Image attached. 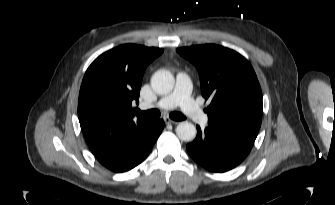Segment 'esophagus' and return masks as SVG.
<instances>
[{
  "instance_id": "obj_1",
  "label": "esophagus",
  "mask_w": 335,
  "mask_h": 205,
  "mask_svg": "<svg viewBox=\"0 0 335 205\" xmlns=\"http://www.w3.org/2000/svg\"><path fill=\"white\" fill-rule=\"evenodd\" d=\"M164 121H165L166 124H178L177 121L172 120V119L169 118V117H165V118H164Z\"/></svg>"
}]
</instances>
